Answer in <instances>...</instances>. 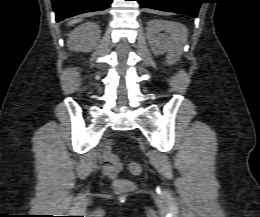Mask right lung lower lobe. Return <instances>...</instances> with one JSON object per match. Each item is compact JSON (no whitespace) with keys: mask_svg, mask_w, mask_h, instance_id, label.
Here are the masks:
<instances>
[{"mask_svg":"<svg viewBox=\"0 0 260 217\" xmlns=\"http://www.w3.org/2000/svg\"><path fill=\"white\" fill-rule=\"evenodd\" d=\"M113 0H52L56 21L85 12L109 8Z\"/></svg>","mask_w":260,"mask_h":217,"instance_id":"98d812e1","label":"right lung lower lobe"}]
</instances>
